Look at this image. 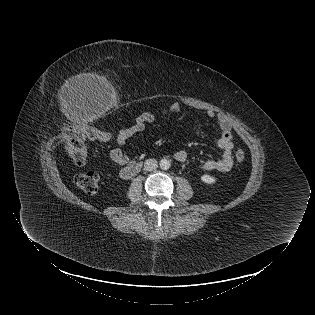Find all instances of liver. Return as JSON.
I'll return each mask as SVG.
<instances>
[{
	"instance_id": "6515ba94",
	"label": "liver",
	"mask_w": 315,
	"mask_h": 315,
	"mask_svg": "<svg viewBox=\"0 0 315 315\" xmlns=\"http://www.w3.org/2000/svg\"><path fill=\"white\" fill-rule=\"evenodd\" d=\"M84 83H100L107 85L105 77L93 73H83L73 76L68 81H66L63 90H71L72 88H76V86L82 85Z\"/></svg>"
}]
</instances>
